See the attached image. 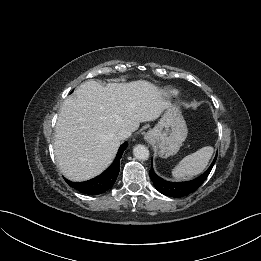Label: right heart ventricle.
Segmentation results:
<instances>
[{"label":"right heart ventricle","mask_w":261,"mask_h":261,"mask_svg":"<svg viewBox=\"0 0 261 261\" xmlns=\"http://www.w3.org/2000/svg\"><path fill=\"white\" fill-rule=\"evenodd\" d=\"M163 94H164V96H166L168 98H173L178 95V91L175 89H166L163 91Z\"/></svg>","instance_id":"1"}]
</instances>
